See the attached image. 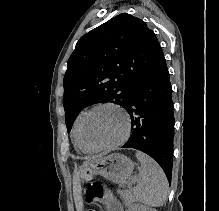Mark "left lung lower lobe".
I'll return each instance as SVG.
<instances>
[{
	"instance_id": "obj_1",
	"label": "left lung lower lobe",
	"mask_w": 219,
	"mask_h": 211,
	"mask_svg": "<svg viewBox=\"0 0 219 211\" xmlns=\"http://www.w3.org/2000/svg\"><path fill=\"white\" fill-rule=\"evenodd\" d=\"M125 109L132 123L130 138L123 147L151 156L171 181L174 112L164 56L135 85Z\"/></svg>"
}]
</instances>
